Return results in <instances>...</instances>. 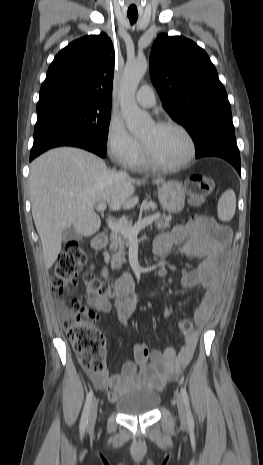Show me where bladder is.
Returning a JSON list of instances; mask_svg holds the SVG:
<instances>
[{
  "label": "bladder",
  "instance_id": "1",
  "mask_svg": "<svg viewBox=\"0 0 263 465\" xmlns=\"http://www.w3.org/2000/svg\"><path fill=\"white\" fill-rule=\"evenodd\" d=\"M160 396L146 388H136L124 393L116 402L118 412L128 416H140L154 411Z\"/></svg>",
  "mask_w": 263,
  "mask_h": 465
}]
</instances>
